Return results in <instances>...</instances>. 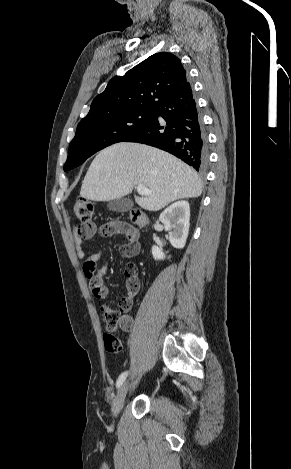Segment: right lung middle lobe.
Returning a JSON list of instances; mask_svg holds the SVG:
<instances>
[{
    "mask_svg": "<svg viewBox=\"0 0 291 469\" xmlns=\"http://www.w3.org/2000/svg\"><path fill=\"white\" fill-rule=\"evenodd\" d=\"M153 116V110L134 109L113 116L80 121L71 141L64 171L82 164L97 151L130 136Z\"/></svg>",
    "mask_w": 291,
    "mask_h": 469,
    "instance_id": "dd1d6c3e",
    "label": "right lung middle lobe"
}]
</instances>
